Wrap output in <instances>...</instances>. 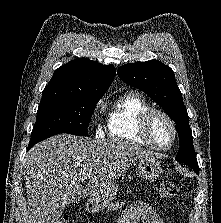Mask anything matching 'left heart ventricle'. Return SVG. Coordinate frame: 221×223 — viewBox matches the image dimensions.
I'll use <instances>...</instances> for the list:
<instances>
[{
    "mask_svg": "<svg viewBox=\"0 0 221 223\" xmlns=\"http://www.w3.org/2000/svg\"><path fill=\"white\" fill-rule=\"evenodd\" d=\"M150 135L153 141L160 146H167L173 139L169 123L162 116H155L150 124Z\"/></svg>",
    "mask_w": 221,
    "mask_h": 223,
    "instance_id": "1",
    "label": "left heart ventricle"
}]
</instances>
